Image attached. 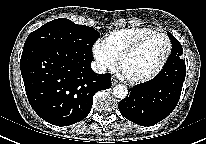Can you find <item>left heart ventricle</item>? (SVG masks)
<instances>
[{
    "mask_svg": "<svg viewBox=\"0 0 206 144\" xmlns=\"http://www.w3.org/2000/svg\"><path fill=\"white\" fill-rule=\"evenodd\" d=\"M167 50L166 40L154 37L146 42L123 64V72L132 78L151 74L162 62Z\"/></svg>",
    "mask_w": 206,
    "mask_h": 144,
    "instance_id": "obj_1",
    "label": "left heart ventricle"
}]
</instances>
